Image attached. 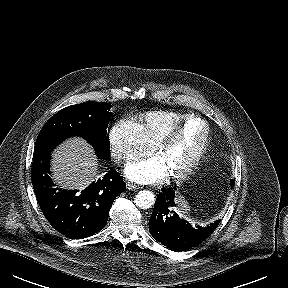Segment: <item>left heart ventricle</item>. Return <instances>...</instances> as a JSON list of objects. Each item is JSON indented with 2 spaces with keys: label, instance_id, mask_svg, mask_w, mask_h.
I'll use <instances>...</instances> for the list:
<instances>
[{
  "label": "left heart ventricle",
  "instance_id": "obj_1",
  "mask_svg": "<svg viewBox=\"0 0 288 288\" xmlns=\"http://www.w3.org/2000/svg\"><path fill=\"white\" fill-rule=\"evenodd\" d=\"M205 134V124L200 120H191L181 128L170 145L158 152L169 174L180 172L192 161L204 142Z\"/></svg>",
  "mask_w": 288,
  "mask_h": 288
}]
</instances>
